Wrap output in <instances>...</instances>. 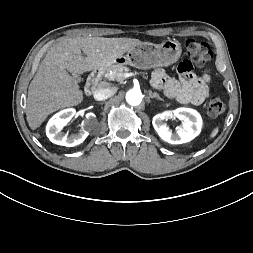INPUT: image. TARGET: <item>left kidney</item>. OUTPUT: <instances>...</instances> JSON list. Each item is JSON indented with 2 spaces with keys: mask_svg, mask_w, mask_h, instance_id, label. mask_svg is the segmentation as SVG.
<instances>
[{
  "mask_svg": "<svg viewBox=\"0 0 253 253\" xmlns=\"http://www.w3.org/2000/svg\"><path fill=\"white\" fill-rule=\"evenodd\" d=\"M173 117H177L182 121V125L177 128L175 133H172L164 123V120L167 121ZM152 124L162 140L170 144H182L193 140L199 135L202 119L196 110L182 107L155 115Z\"/></svg>",
  "mask_w": 253,
  "mask_h": 253,
  "instance_id": "1",
  "label": "left kidney"
}]
</instances>
